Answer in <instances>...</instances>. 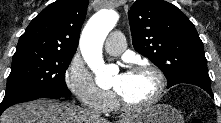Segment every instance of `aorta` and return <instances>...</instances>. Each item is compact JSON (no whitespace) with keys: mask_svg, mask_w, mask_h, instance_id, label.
Returning a JSON list of instances; mask_svg holds the SVG:
<instances>
[{"mask_svg":"<svg viewBox=\"0 0 221 123\" xmlns=\"http://www.w3.org/2000/svg\"><path fill=\"white\" fill-rule=\"evenodd\" d=\"M118 19L119 16L114 10L102 9L90 18L81 34L82 55L94 72L95 82L100 87L110 86L113 82L114 70L104 63L102 46Z\"/></svg>","mask_w":221,"mask_h":123,"instance_id":"1","label":"aorta"}]
</instances>
